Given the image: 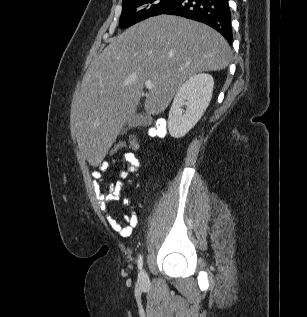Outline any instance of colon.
I'll list each match as a JSON object with an SVG mask.
<instances>
[{
	"instance_id": "colon-1",
	"label": "colon",
	"mask_w": 307,
	"mask_h": 317,
	"mask_svg": "<svg viewBox=\"0 0 307 317\" xmlns=\"http://www.w3.org/2000/svg\"><path fill=\"white\" fill-rule=\"evenodd\" d=\"M149 135L155 139H162L166 135V120L157 119L149 129ZM138 139L134 134H130L126 143H116L111 146L108 154L111 158L121 156L126 152H134L138 149Z\"/></svg>"
}]
</instances>
